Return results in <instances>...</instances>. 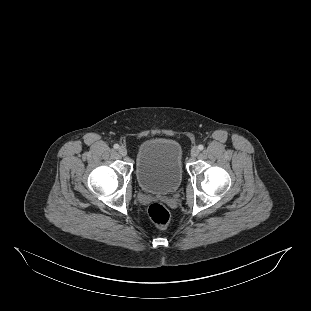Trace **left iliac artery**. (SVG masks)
<instances>
[{"mask_svg": "<svg viewBox=\"0 0 311 311\" xmlns=\"http://www.w3.org/2000/svg\"><path fill=\"white\" fill-rule=\"evenodd\" d=\"M198 149H199V150H203V149H204V146H203V145H199V146H198Z\"/></svg>", "mask_w": 311, "mask_h": 311, "instance_id": "obj_1", "label": "left iliac artery"}]
</instances>
